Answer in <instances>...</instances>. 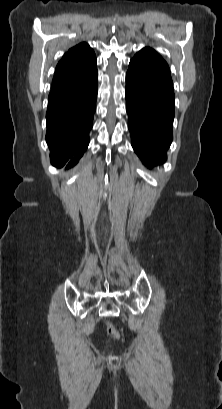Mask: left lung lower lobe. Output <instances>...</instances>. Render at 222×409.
Masks as SVG:
<instances>
[{
    "label": "left lung lower lobe",
    "instance_id": "left-lung-lower-lobe-1",
    "mask_svg": "<svg viewBox=\"0 0 222 409\" xmlns=\"http://www.w3.org/2000/svg\"><path fill=\"white\" fill-rule=\"evenodd\" d=\"M125 95L134 151L150 168L164 163L173 139V87L127 71Z\"/></svg>",
    "mask_w": 222,
    "mask_h": 409
}]
</instances>
